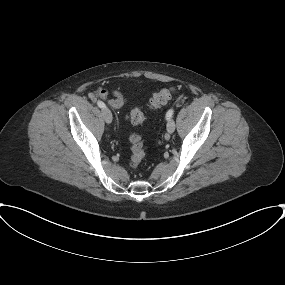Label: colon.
<instances>
[{"mask_svg": "<svg viewBox=\"0 0 285 285\" xmlns=\"http://www.w3.org/2000/svg\"><path fill=\"white\" fill-rule=\"evenodd\" d=\"M175 92L174 88H164L153 94L149 102V107L152 111H156L165 105ZM129 120L133 124H141L147 120V116L139 109H133L128 114ZM131 149L130 165L138 167L145 157V151L141 137L137 134H132L129 137Z\"/></svg>", "mask_w": 285, "mask_h": 285, "instance_id": "colon-1", "label": "colon"}]
</instances>
